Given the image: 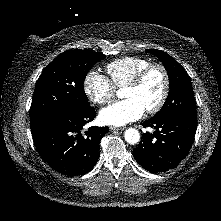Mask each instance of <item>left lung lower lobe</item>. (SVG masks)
Returning <instances> with one entry per match:
<instances>
[{"instance_id":"left-lung-lower-lobe-1","label":"left lung lower lobe","mask_w":221,"mask_h":221,"mask_svg":"<svg viewBox=\"0 0 221 221\" xmlns=\"http://www.w3.org/2000/svg\"><path fill=\"white\" fill-rule=\"evenodd\" d=\"M155 129L142 135L133 155L135 160L152 173L175 168L188 154L197 127V119L181 115L152 117L142 123Z\"/></svg>"}]
</instances>
